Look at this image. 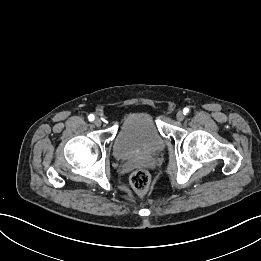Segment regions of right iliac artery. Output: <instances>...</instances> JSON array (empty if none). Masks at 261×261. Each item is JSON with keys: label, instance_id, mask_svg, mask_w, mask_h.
<instances>
[{"label": "right iliac artery", "instance_id": "right-iliac-artery-1", "mask_svg": "<svg viewBox=\"0 0 261 261\" xmlns=\"http://www.w3.org/2000/svg\"><path fill=\"white\" fill-rule=\"evenodd\" d=\"M94 119H95V117H94V115L93 114H90L89 116H88V120L89 121H94Z\"/></svg>", "mask_w": 261, "mask_h": 261}]
</instances>
